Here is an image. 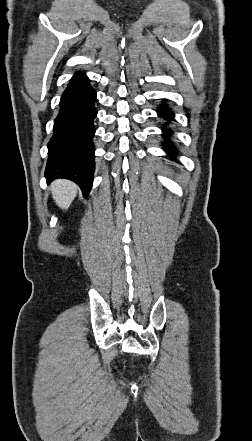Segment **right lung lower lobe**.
Masks as SVG:
<instances>
[{
    "label": "right lung lower lobe",
    "mask_w": 252,
    "mask_h": 441,
    "mask_svg": "<svg viewBox=\"0 0 252 441\" xmlns=\"http://www.w3.org/2000/svg\"><path fill=\"white\" fill-rule=\"evenodd\" d=\"M96 92L83 72L70 80L60 101V111L54 121V134L48 143V161L45 177L74 181L88 196L92 183L94 163L93 120Z\"/></svg>",
    "instance_id": "98d812e1"
}]
</instances>
